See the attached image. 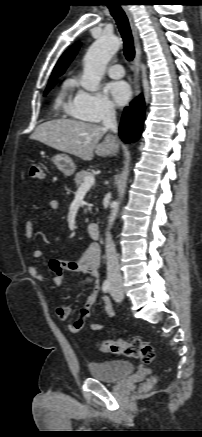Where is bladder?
Segmentation results:
<instances>
[{"mask_svg":"<svg viewBox=\"0 0 202 437\" xmlns=\"http://www.w3.org/2000/svg\"><path fill=\"white\" fill-rule=\"evenodd\" d=\"M90 375L100 381L115 383L130 376L135 369L128 360H108L101 362H89Z\"/></svg>","mask_w":202,"mask_h":437,"instance_id":"obj_1","label":"bladder"}]
</instances>
